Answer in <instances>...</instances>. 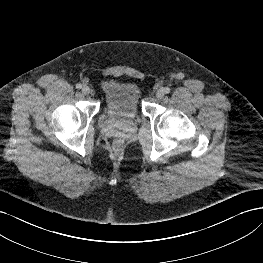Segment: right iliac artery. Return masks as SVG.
<instances>
[{
    "label": "right iliac artery",
    "instance_id": "82829eb1",
    "mask_svg": "<svg viewBox=\"0 0 263 263\" xmlns=\"http://www.w3.org/2000/svg\"><path fill=\"white\" fill-rule=\"evenodd\" d=\"M76 88L77 89H81L82 88V84H80V83L76 84Z\"/></svg>",
    "mask_w": 263,
    "mask_h": 263
}]
</instances>
